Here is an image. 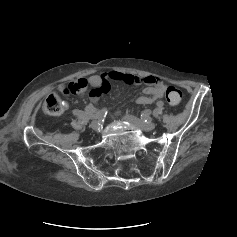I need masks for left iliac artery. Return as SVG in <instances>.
I'll return each mask as SVG.
<instances>
[{"mask_svg": "<svg viewBox=\"0 0 237 237\" xmlns=\"http://www.w3.org/2000/svg\"><path fill=\"white\" fill-rule=\"evenodd\" d=\"M163 105H164V102H163V101H158V102H157V106H158V107H162Z\"/></svg>", "mask_w": 237, "mask_h": 237, "instance_id": "left-iliac-artery-1", "label": "left iliac artery"}]
</instances>
